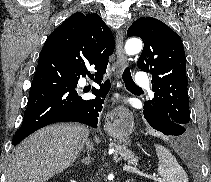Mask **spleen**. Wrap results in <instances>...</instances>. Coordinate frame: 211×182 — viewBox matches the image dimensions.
Returning a JSON list of instances; mask_svg holds the SVG:
<instances>
[{
  "label": "spleen",
  "instance_id": "1",
  "mask_svg": "<svg viewBox=\"0 0 211 182\" xmlns=\"http://www.w3.org/2000/svg\"><path fill=\"white\" fill-rule=\"evenodd\" d=\"M159 159L158 173L165 182H188V176L171 151L162 145H155Z\"/></svg>",
  "mask_w": 211,
  "mask_h": 182
}]
</instances>
